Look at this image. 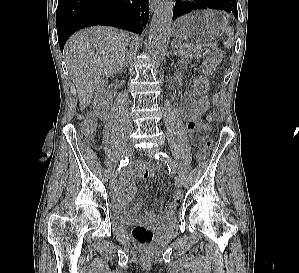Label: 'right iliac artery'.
Segmentation results:
<instances>
[{
  "instance_id": "1",
  "label": "right iliac artery",
  "mask_w": 299,
  "mask_h": 273,
  "mask_svg": "<svg viewBox=\"0 0 299 273\" xmlns=\"http://www.w3.org/2000/svg\"><path fill=\"white\" fill-rule=\"evenodd\" d=\"M129 163V157H126L120 161V165L117 169V172L120 171L123 167L127 166Z\"/></svg>"
}]
</instances>
